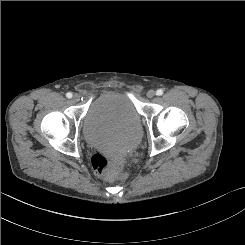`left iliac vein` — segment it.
<instances>
[{"mask_svg":"<svg viewBox=\"0 0 245 245\" xmlns=\"http://www.w3.org/2000/svg\"><path fill=\"white\" fill-rule=\"evenodd\" d=\"M155 95H156V93H155L154 90H149L147 92V97L150 98V99L153 98Z\"/></svg>","mask_w":245,"mask_h":245,"instance_id":"1","label":"left iliac vein"}]
</instances>
